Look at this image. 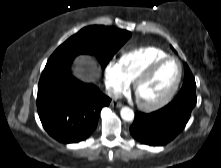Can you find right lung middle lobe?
<instances>
[{
    "instance_id": "obj_1",
    "label": "right lung middle lobe",
    "mask_w": 221,
    "mask_h": 168,
    "mask_svg": "<svg viewBox=\"0 0 221 168\" xmlns=\"http://www.w3.org/2000/svg\"><path fill=\"white\" fill-rule=\"evenodd\" d=\"M130 36L129 31L113 27H85L61 44L49 60L74 59L80 54H90L96 56L102 68H105Z\"/></svg>"
}]
</instances>
